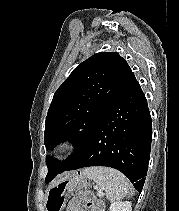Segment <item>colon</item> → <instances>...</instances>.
Wrapping results in <instances>:
<instances>
[{"instance_id": "1", "label": "colon", "mask_w": 179, "mask_h": 211, "mask_svg": "<svg viewBox=\"0 0 179 211\" xmlns=\"http://www.w3.org/2000/svg\"><path fill=\"white\" fill-rule=\"evenodd\" d=\"M78 186L82 189L85 188L83 183H79ZM69 192L70 189L67 185H60L59 187L53 189L48 197V211H60ZM85 205L89 211H94L95 203L92 200L87 199Z\"/></svg>"}]
</instances>
